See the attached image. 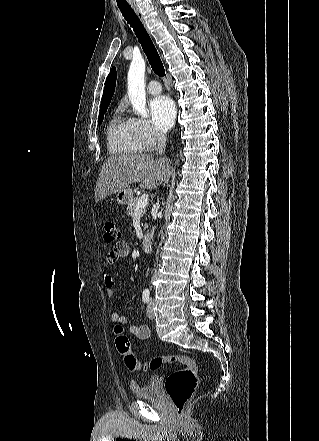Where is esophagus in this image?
Returning <instances> with one entry per match:
<instances>
[{
  "instance_id": "1",
  "label": "esophagus",
  "mask_w": 319,
  "mask_h": 441,
  "mask_svg": "<svg viewBox=\"0 0 319 441\" xmlns=\"http://www.w3.org/2000/svg\"><path fill=\"white\" fill-rule=\"evenodd\" d=\"M135 13L137 14L138 18L140 19L141 23L143 24V26L145 27V29L149 32L148 28H147V24L144 20V17L142 15V13L140 12V10L138 9V7L134 6L133 7Z\"/></svg>"
}]
</instances>
